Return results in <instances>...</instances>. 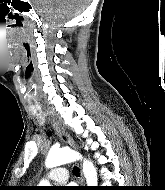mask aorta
I'll use <instances>...</instances> for the list:
<instances>
[{
    "label": "aorta",
    "instance_id": "obj_1",
    "mask_svg": "<svg viewBox=\"0 0 165 190\" xmlns=\"http://www.w3.org/2000/svg\"><path fill=\"white\" fill-rule=\"evenodd\" d=\"M81 156L70 149H51L46 157L45 165L47 168L57 167L69 162L80 159ZM83 173L88 186H96L98 183L96 168L93 163L87 160L83 161ZM41 185H49L48 181H42Z\"/></svg>",
    "mask_w": 165,
    "mask_h": 190
}]
</instances>
